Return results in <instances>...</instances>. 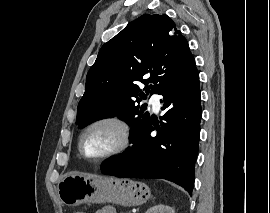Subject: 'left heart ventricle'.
<instances>
[{
  "mask_svg": "<svg viewBox=\"0 0 270 213\" xmlns=\"http://www.w3.org/2000/svg\"><path fill=\"white\" fill-rule=\"evenodd\" d=\"M120 141L118 130L109 125H100L90 130L84 138L83 149L90 157H99Z\"/></svg>",
  "mask_w": 270,
  "mask_h": 213,
  "instance_id": "left-heart-ventricle-1",
  "label": "left heart ventricle"
}]
</instances>
